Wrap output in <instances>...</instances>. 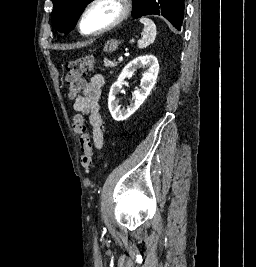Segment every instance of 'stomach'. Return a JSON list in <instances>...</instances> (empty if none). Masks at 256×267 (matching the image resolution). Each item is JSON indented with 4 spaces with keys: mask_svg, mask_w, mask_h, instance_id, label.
I'll use <instances>...</instances> for the list:
<instances>
[{
    "mask_svg": "<svg viewBox=\"0 0 256 267\" xmlns=\"http://www.w3.org/2000/svg\"><path fill=\"white\" fill-rule=\"evenodd\" d=\"M118 46V40H108V42L104 44V52H114V50H117Z\"/></svg>",
    "mask_w": 256,
    "mask_h": 267,
    "instance_id": "1",
    "label": "stomach"
}]
</instances>
